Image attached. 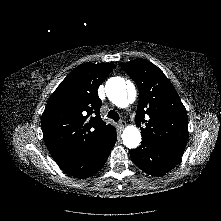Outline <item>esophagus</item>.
<instances>
[{
	"label": "esophagus",
	"mask_w": 221,
	"mask_h": 221,
	"mask_svg": "<svg viewBox=\"0 0 221 221\" xmlns=\"http://www.w3.org/2000/svg\"><path fill=\"white\" fill-rule=\"evenodd\" d=\"M119 125H120L122 128H124L127 124H126V122H125L124 120H121V121L119 122Z\"/></svg>",
	"instance_id": "esophagus-1"
}]
</instances>
